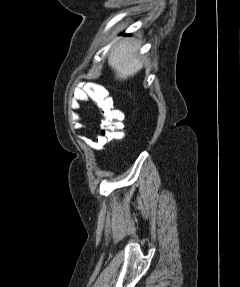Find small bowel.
<instances>
[{"label":"small bowel","mask_w":240,"mask_h":287,"mask_svg":"<svg viewBox=\"0 0 240 287\" xmlns=\"http://www.w3.org/2000/svg\"><path fill=\"white\" fill-rule=\"evenodd\" d=\"M90 98L88 94L81 88H75L72 91V96L69 101V106L71 109L78 111L81 109L82 102H88ZM95 135V139L91 140L89 138H84L83 140L87 145H89L94 151L100 152L103 149V146L106 144V139L99 133L96 126H91L88 128Z\"/></svg>","instance_id":"small-bowel-1"}]
</instances>
